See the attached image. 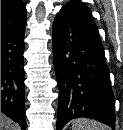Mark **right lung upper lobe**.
<instances>
[{"mask_svg":"<svg viewBox=\"0 0 123 130\" xmlns=\"http://www.w3.org/2000/svg\"><path fill=\"white\" fill-rule=\"evenodd\" d=\"M26 21V7L22 0H1V27L19 26Z\"/></svg>","mask_w":123,"mask_h":130,"instance_id":"cb5924a9","label":"right lung upper lobe"}]
</instances>
